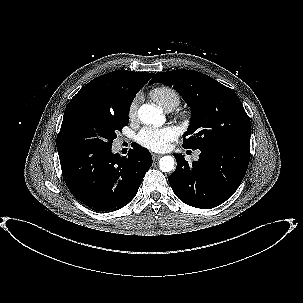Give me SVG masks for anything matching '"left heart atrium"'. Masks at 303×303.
Returning a JSON list of instances; mask_svg holds the SVG:
<instances>
[{
  "label": "left heart atrium",
  "mask_w": 303,
  "mask_h": 303,
  "mask_svg": "<svg viewBox=\"0 0 303 303\" xmlns=\"http://www.w3.org/2000/svg\"><path fill=\"white\" fill-rule=\"evenodd\" d=\"M178 135L174 126L145 127L138 133L136 141L148 150L160 152L167 150Z\"/></svg>",
  "instance_id": "1"
}]
</instances>
